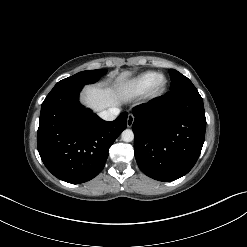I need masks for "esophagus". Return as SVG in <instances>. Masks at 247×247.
I'll list each match as a JSON object with an SVG mask.
<instances>
[{"label": "esophagus", "mask_w": 247, "mask_h": 247, "mask_svg": "<svg viewBox=\"0 0 247 247\" xmlns=\"http://www.w3.org/2000/svg\"><path fill=\"white\" fill-rule=\"evenodd\" d=\"M134 116L132 114H129L128 117H127V126L128 127H131L134 123Z\"/></svg>", "instance_id": "34e87169"}]
</instances>
